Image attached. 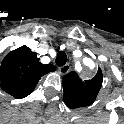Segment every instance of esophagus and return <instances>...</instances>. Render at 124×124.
Segmentation results:
<instances>
[{
	"label": "esophagus",
	"mask_w": 124,
	"mask_h": 124,
	"mask_svg": "<svg viewBox=\"0 0 124 124\" xmlns=\"http://www.w3.org/2000/svg\"><path fill=\"white\" fill-rule=\"evenodd\" d=\"M70 69H71L70 65L69 64H65V65H63V66H61L59 68V73L61 75H66L67 73H69Z\"/></svg>",
	"instance_id": "34e87169"
}]
</instances>
